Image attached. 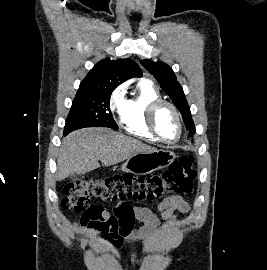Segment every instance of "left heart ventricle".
Instances as JSON below:
<instances>
[{
  "label": "left heart ventricle",
  "instance_id": "obj_1",
  "mask_svg": "<svg viewBox=\"0 0 267 270\" xmlns=\"http://www.w3.org/2000/svg\"><path fill=\"white\" fill-rule=\"evenodd\" d=\"M156 127L159 134L168 141H174L178 136V123L169 107H162L156 115Z\"/></svg>",
  "mask_w": 267,
  "mask_h": 270
}]
</instances>
